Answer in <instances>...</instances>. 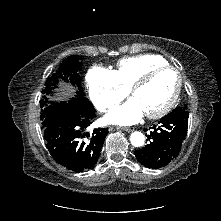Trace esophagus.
Returning <instances> with one entry per match:
<instances>
[{
	"instance_id": "1",
	"label": "esophagus",
	"mask_w": 221,
	"mask_h": 221,
	"mask_svg": "<svg viewBox=\"0 0 221 221\" xmlns=\"http://www.w3.org/2000/svg\"><path fill=\"white\" fill-rule=\"evenodd\" d=\"M120 129L123 130V131H126V132H131V131H133V129L130 128V127H121Z\"/></svg>"
}]
</instances>
